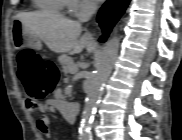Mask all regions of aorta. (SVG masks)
<instances>
[{
	"label": "aorta",
	"instance_id": "aorta-1",
	"mask_svg": "<svg viewBox=\"0 0 182 140\" xmlns=\"http://www.w3.org/2000/svg\"><path fill=\"white\" fill-rule=\"evenodd\" d=\"M120 38L113 37L108 40L99 56L95 73L93 74L87 92V98L80 123V134L84 140L91 138L90 124L93 119L95 107L100 99L101 92L109 77L119 50Z\"/></svg>",
	"mask_w": 182,
	"mask_h": 140
}]
</instances>
